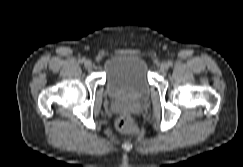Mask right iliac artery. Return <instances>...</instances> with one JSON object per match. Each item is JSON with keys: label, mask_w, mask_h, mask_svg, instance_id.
Here are the masks:
<instances>
[{"label": "right iliac artery", "mask_w": 243, "mask_h": 167, "mask_svg": "<svg viewBox=\"0 0 243 167\" xmlns=\"http://www.w3.org/2000/svg\"><path fill=\"white\" fill-rule=\"evenodd\" d=\"M79 62H80V63L85 62V58H81V59L79 60Z\"/></svg>", "instance_id": "82829eb1"}]
</instances>
